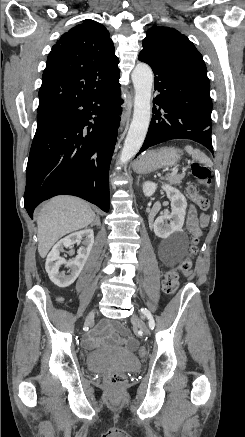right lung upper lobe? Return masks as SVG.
<instances>
[{"instance_id": "obj_1", "label": "right lung upper lobe", "mask_w": 245, "mask_h": 437, "mask_svg": "<svg viewBox=\"0 0 245 437\" xmlns=\"http://www.w3.org/2000/svg\"><path fill=\"white\" fill-rule=\"evenodd\" d=\"M118 63L108 30L94 20H84L64 33L49 53L38 112L108 88L119 79Z\"/></svg>"}]
</instances>
